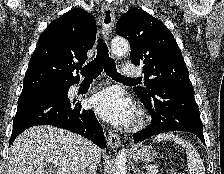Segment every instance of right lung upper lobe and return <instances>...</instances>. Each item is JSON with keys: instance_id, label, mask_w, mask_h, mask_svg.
<instances>
[{"instance_id": "cb5924a9", "label": "right lung upper lobe", "mask_w": 224, "mask_h": 174, "mask_svg": "<svg viewBox=\"0 0 224 174\" xmlns=\"http://www.w3.org/2000/svg\"><path fill=\"white\" fill-rule=\"evenodd\" d=\"M95 38V19L83 9H72L52 21L29 61L23 90L78 83L79 76H73V72L87 60Z\"/></svg>"}]
</instances>
